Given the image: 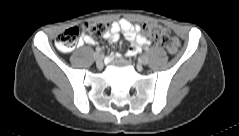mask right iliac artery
Returning a JSON list of instances; mask_svg holds the SVG:
<instances>
[{
  "label": "right iliac artery",
  "instance_id": "1",
  "mask_svg": "<svg viewBox=\"0 0 239 136\" xmlns=\"http://www.w3.org/2000/svg\"><path fill=\"white\" fill-rule=\"evenodd\" d=\"M96 51H97V52H100V51H101V48H100V47H96Z\"/></svg>",
  "mask_w": 239,
  "mask_h": 136
}]
</instances>
